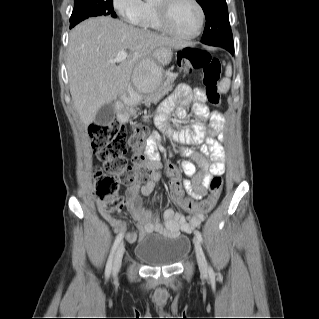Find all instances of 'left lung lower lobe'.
<instances>
[{
    "label": "left lung lower lobe",
    "instance_id": "obj_1",
    "mask_svg": "<svg viewBox=\"0 0 319 319\" xmlns=\"http://www.w3.org/2000/svg\"><path fill=\"white\" fill-rule=\"evenodd\" d=\"M221 47H223L224 49L228 50L232 55L234 54V44L230 43V44H223Z\"/></svg>",
    "mask_w": 319,
    "mask_h": 319
}]
</instances>
